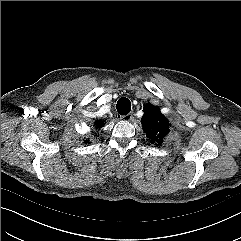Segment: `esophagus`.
Listing matches in <instances>:
<instances>
[{
  "mask_svg": "<svg viewBox=\"0 0 241 241\" xmlns=\"http://www.w3.org/2000/svg\"><path fill=\"white\" fill-rule=\"evenodd\" d=\"M133 118V114L132 113H128L126 115L120 116V119L123 121H130Z\"/></svg>",
  "mask_w": 241,
  "mask_h": 241,
  "instance_id": "1",
  "label": "esophagus"
}]
</instances>
